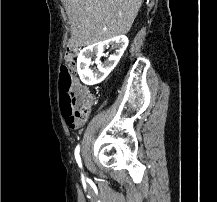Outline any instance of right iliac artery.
I'll list each match as a JSON object with an SVG mask.
<instances>
[{
	"label": "right iliac artery",
	"mask_w": 217,
	"mask_h": 202,
	"mask_svg": "<svg viewBox=\"0 0 217 202\" xmlns=\"http://www.w3.org/2000/svg\"><path fill=\"white\" fill-rule=\"evenodd\" d=\"M79 152H80V145H78L75 149V158H76L77 163H81Z\"/></svg>",
	"instance_id": "obj_1"
}]
</instances>
